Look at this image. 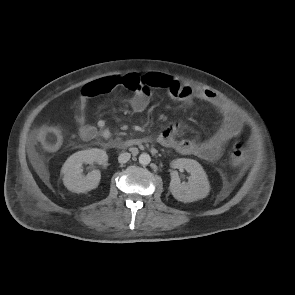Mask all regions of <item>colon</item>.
Returning a JSON list of instances; mask_svg holds the SVG:
<instances>
[{
    "label": "colon",
    "instance_id": "colon-1",
    "mask_svg": "<svg viewBox=\"0 0 295 295\" xmlns=\"http://www.w3.org/2000/svg\"><path fill=\"white\" fill-rule=\"evenodd\" d=\"M124 83L128 89H136L139 87L140 80L135 75H127L124 77ZM37 138L40 144L48 151L58 149L62 144V133L56 127L42 128ZM230 160L234 165L243 164L250 156L249 149L240 142H233L229 149Z\"/></svg>",
    "mask_w": 295,
    "mask_h": 295
}]
</instances>
